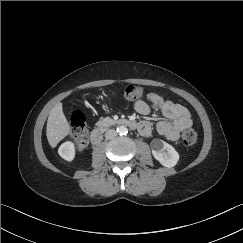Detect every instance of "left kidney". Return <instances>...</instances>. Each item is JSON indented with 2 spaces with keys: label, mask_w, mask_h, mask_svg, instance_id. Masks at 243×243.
<instances>
[{
  "label": "left kidney",
  "mask_w": 243,
  "mask_h": 243,
  "mask_svg": "<svg viewBox=\"0 0 243 243\" xmlns=\"http://www.w3.org/2000/svg\"><path fill=\"white\" fill-rule=\"evenodd\" d=\"M151 148L153 157L158 160L161 165L171 168L177 164L179 154L170 144L160 139H154L151 142Z\"/></svg>",
  "instance_id": "obj_1"
}]
</instances>
